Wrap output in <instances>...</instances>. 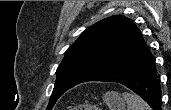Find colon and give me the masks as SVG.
Listing matches in <instances>:
<instances>
[{
  "instance_id": "5ec220e1",
  "label": "colon",
  "mask_w": 171,
  "mask_h": 110,
  "mask_svg": "<svg viewBox=\"0 0 171 110\" xmlns=\"http://www.w3.org/2000/svg\"><path fill=\"white\" fill-rule=\"evenodd\" d=\"M72 110H85V106H77L73 108Z\"/></svg>"
}]
</instances>
